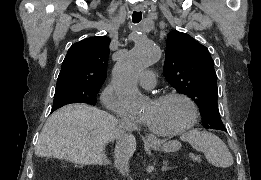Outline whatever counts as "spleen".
<instances>
[{"instance_id": "3e777b00", "label": "spleen", "mask_w": 261, "mask_h": 180, "mask_svg": "<svg viewBox=\"0 0 261 180\" xmlns=\"http://www.w3.org/2000/svg\"><path fill=\"white\" fill-rule=\"evenodd\" d=\"M181 140L189 142L190 146L197 152H203L209 164L216 166V168H230L234 162L226 144L210 132L190 130V132L182 134Z\"/></svg>"}]
</instances>
